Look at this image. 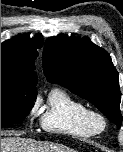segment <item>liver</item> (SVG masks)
<instances>
[{
  "instance_id": "6515ba94",
  "label": "liver",
  "mask_w": 123,
  "mask_h": 152,
  "mask_svg": "<svg viewBox=\"0 0 123 152\" xmlns=\"http://www.w3.org/2000/svg\"><path fill=\"white\" fill-rule=\"evenodd\" d=\"M1 152H75L62 145L21 137L1 138Z\"/></svg>"
}]
</instances>
